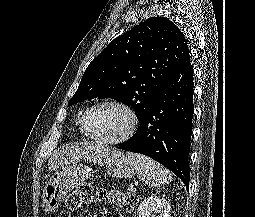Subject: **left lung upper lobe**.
<instances>
[{
	"instance_id": "obj_1",
	"label": "left lung upper lobe",
	"mask_w": 255,
	"mask_h": 217,
	"mask_svg": "<svg viewBox=\"0 0 255 217\" xmlns=\"http://www.w3.org/2000/svg\"><path fill=\"white\" fill-rule=\"evenodd\" d=\"M189 53L183 32L172 21L149 18L114 39L88 65L68 106L112 98L131 106L141 122L160 86Z\"/></svg>"
}]
</instances>
